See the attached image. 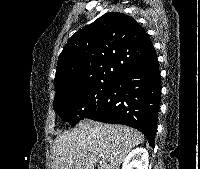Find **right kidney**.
<instances>
[{"label": "right kidney", "mask_w": 200, "mask_h": 169, "mask_svg": "<svg viewBox=\"0 0 200 169\" xmlns=\"http://www.w3.org/2000/svg\"><path fill=\"white\" fill-rule=\"evenodd\" d=\"M148 152L145 148L132 150L124 159L122 169H148Z\"/></svg>", "instance_id": "obj_1"}]
</instances>
